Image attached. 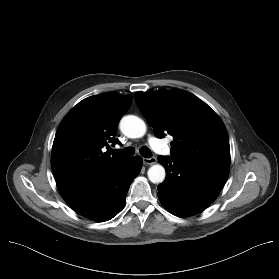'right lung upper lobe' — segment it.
<instances>
[{
    "mask_svg": "<svg viewBox=\"0 0 279 279\" xmlns=\"http://www.w3.org/2000/svg\"><path fill=\"white\" fill-rule=\"evenodd\" d=\"M132 103L131 95L102 94L87 97L73 107L57 129L51 168L58 189L101 176L126 161L111 157L102 148L114 138L122 115Z\"/></svg>",
    "mask_w": 279,
    "mask_h": 279,
    "instance_id": "obj_1",
    "label": "right lung upper lobe"
}]
</instances>
